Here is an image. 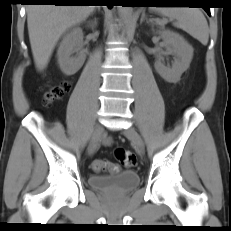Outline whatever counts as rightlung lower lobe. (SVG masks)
Returning a JSON list of instances; mask_svg holds the SVG:
<instances>
[{
	"mask_svg": "<svg viewBox=\"0 0 231 231\" xmlns=\"http://www.w3.org/2000/svg\"><path fill=\"white\" fill-rule=\"evenodd\" d=\"M27 3H51L54 5H77L76 0H24ZM109 8H112V6L109 4L107 5Z\"/></svg>",
	"mask_w": 231,
	"mask_h": 231,
	"instance_id": "obj_1",
	"label": "right lung lower lobe"
}]
</instances>
